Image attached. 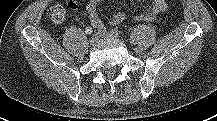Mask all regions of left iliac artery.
<instances>
[{"mask_svg":"<svg viewBox=\"0 0 217 121\" xmlns=\"http://www.w3.org/2000/svg\"><path fill=\"white\" fill-rule=\"evenodd\" d=\"M111 32H112L113 34H115L116 36H120V35H121V31H120L119 29H117V28H113V29L111 30Z\"/></svg>","mask_w":217,"mask_h":121,"instance_id":"left-iliac-artery-1","label":"left iliac artery"}]
</instances>
